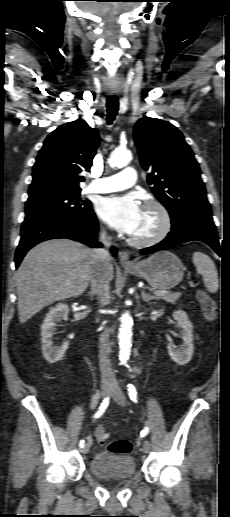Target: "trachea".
I'll return each mask as SVG.
<instances>
[{
    "mask_svg": "<svg viewBox=\"0 0 230 517\" xmlns=\"http://www.w3.org/2000/svg\"><path fill=\"white\" fill-rule=\"evenodd\" d=\"M106 108H107V123L108 124H111L117 113H118V109H119V101H118V98L117 97H108L107 98V101H106Z\"/></svg>",
    "mask_w": 230,
    "mask_h": 517,
    "instance_id": "obj_1",
    "label": "trachea"
}]
</instances>
